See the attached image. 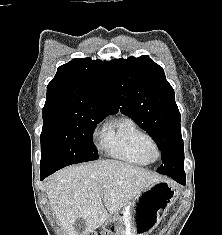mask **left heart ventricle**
I'll use <instances>...</instances> for the list:
<instances>
[{
	"mask_svg": "<svg viewBox=\"0 0 222 235\" xmlns=\"http://www.w3.org/2000/svg\"><path fill=\"white\" fill-rule=\"evenodd\" d=\"M152 156L155 157V154L153 153Z\"/></svg>",
	"mask_w": 222,
	"mask_h": 235,
	"instance_id": "b2bd125f",
	"label": "left heart ventricle"
}]
</instances>
